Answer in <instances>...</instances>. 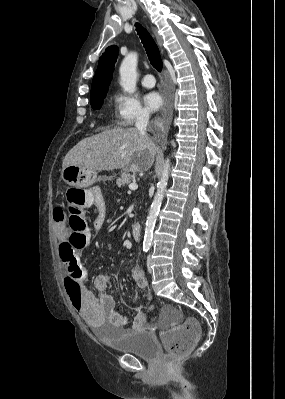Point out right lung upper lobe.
Returning <instances> with one entry per match:
<instances>
[{
    "instance_id": "cb5924a9",
    "label": "right lung upper lobe",
    "mask_w": 285,
    "mask_h": 399,
    "mask_svg": "<svg viewBox=\"0 0 285 399\" xmlns=\"http://www.w3.org/2000/svg\"><path fill=\"white\" fill-rule=\"evenodd\" d=\"M117 56L118 47L112 45L107 47L100 57L98 68L92 80L91 97L108 91Z\"/></svg>"
}]
</instances>
